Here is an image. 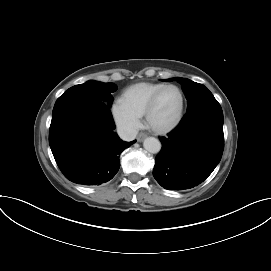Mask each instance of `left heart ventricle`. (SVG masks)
<instances>
[{"mask_svg":"<svg viewBox=\"0 0 271 271\" xmlns=\"http://www.w3.org/2000/svg\"><path fill=\"white\" fill-rule=\"evenodd\" d=\"M180 95L176 89L170 88L163 92L153 111L151 121L155 126L164 127L170 124L178 114Z\"/></svg>","mask_w":271,"mask_h":271,"instance_id":"b2bd125f","label":"left heart ventricle"}]
</instances>
